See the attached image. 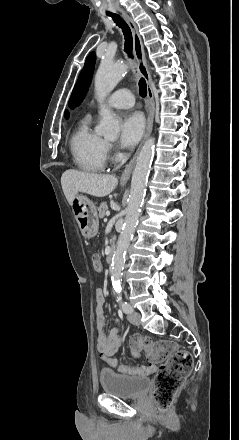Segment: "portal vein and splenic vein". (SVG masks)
<instances>
[{"instance_id": "1", "label": "portal vein and splenic vein", "mask_w": 239, "mask_h": 440, "mask_svg": "<svg viewBox=\"0 0 239 440\" xmlns=\"http://www.w3.org/2000/svg\"><path fill=\"white\" fill-rule=\"evenodd\" d=\"M106 216H110V212H106Z\"/></svg>"}]
</instances>
